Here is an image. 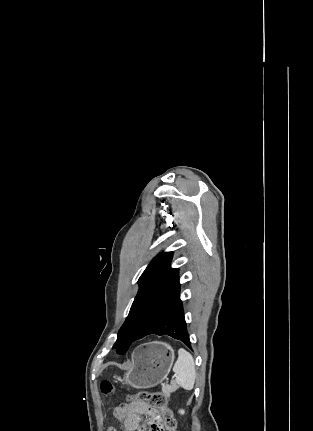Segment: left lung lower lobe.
Wrapping results in <instances>:
<instances>
[{"label": "left lung lower lobe", "mask_w": 313, "mask_h": 431, "mask_svg": "<svg viewBox=\"0 0 313 431\" xmlns=\"http://www.w3.org/2000/svg\"><path fill=\"white\" fill-rule=\"evenodd\" d=\"M151 334L160 336L169 335L175 339L181 340L191 348L180 295L163 306L148 321L136 337L135 341Z\"/></svg>", "instance_id": "0a47b994"}]
</instances>
